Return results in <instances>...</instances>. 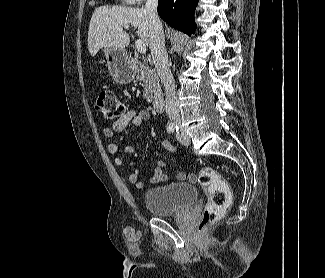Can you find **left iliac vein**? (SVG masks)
<instances>
[{
  "label": "left iliac vein",
  "mask_w": 325,
  "mask_h": 278,
  "mask_svg": "<svg viewBox=\"0 0 325 278\" xmlns=\"http://www.w3.org/2000/svg\"><path fill=\"white\" fill-rule=\"evenodd\" d=\"M177 138L183 145H190L191 143L190 137L185 132L177 134Z\"/></svg>",
  "instance_id": "obj_1"
}]
</instances>
